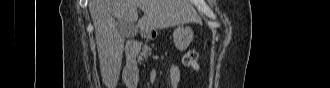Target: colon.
<instances>
[{
	"label": "colon",
	"mask_w": 330,
	"mask_h": 88,
	"mask_svg": "<svg viewBox=\"0 0 330 88\" xmlns=\"http://www.w3.org/2000/svg\"><path fill=\"white\" fill-rule=\"evenodd\" d=\"M197 58H198L197 52L194 50H190L184 55L183 61L187 67L198 69Z\"/></svg>",
	"instance_id": "5ec220e1"
}]
</instances>
